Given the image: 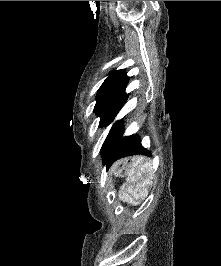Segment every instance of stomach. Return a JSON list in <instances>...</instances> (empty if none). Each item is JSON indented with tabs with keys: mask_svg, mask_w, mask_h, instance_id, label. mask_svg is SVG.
Instances as JSON below:
<instances>
[{
	"mask_svg": "<svg viewBox=\"0 0 221 266\" xmlns=\"http://www.w3.org/2000/svg\"><path fill=\"white\" fill-rule=\"evenodd\" d=\"M131 167L127 161H120L113 166L112 171L115 176L124 177L131 171Z\"/></svg>",
	"mask_w": 221,
	"mask_h": 266,
	"instance_id": "stomach-1",
	"label": "stomach"
}]
</instances>
